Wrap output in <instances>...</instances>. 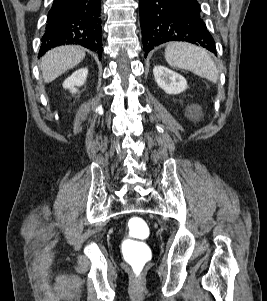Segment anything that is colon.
Listing matches in <instances>:
<instances>
[{
  "label": "colon",
  "mask_w": 267,
  "mask_h": 301,
  "mask_svg": "<svg viewBox=\"0 0 267 301\" xmlns=\"http://www.w3.org/2000/svg\"><path fill=\"white\" fill-rule=\"evenodd\" d=\"M149 236L144 219L133 216L128 221L127 237L123 242V255L135 276H140L151 259V250L143 241Z\"/></svg>",
  "instance_id": "1"
}]
</instances>
